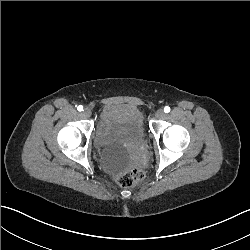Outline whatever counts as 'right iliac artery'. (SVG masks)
Wrapping results in <instances>:
<instances>
[{
    "label": "right iliac artery",
    "mask_w": 250,
    "mask_h": 250,
    "mask_svg": "<svg viewBox=\"0 0 250 250\" xmlns=\"http://www.w3.org/2000/svg\"><path fill=\"white\" fill-rule=\"evenodd\" d=\"M77 110L80 111V112L83 111V106H82V105H79V106L77 107Z\"/></svg>",
    "instance_id": "right-iliac-artery-1"
}]
</instances>
